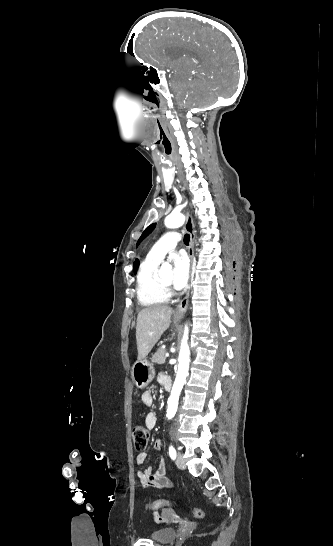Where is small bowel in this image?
I'll return each mask as SVG.
<instances>
[{
	"label": "small bowel",
	"instance_id": "c3829d8e",
	"mask_svg": "<svg viewBox=\"0 0 333 546\" xmlns=\"http://www.w3.org/2000/svg\"><path fill=\"white\" fill-rule=\"evenodd\" d=\"M167 376L164 374H160L158 376L159 382L164 385L165 381L167 380ZM141 400L144 405L151 407L154 404V397L153 394L150 391H145L141 395ZM157 423V416L154 412H149L145 417V426L148 429H153L156 426ZM163 446V442L161 438H157L154 442V449L160 450ZM147 460V454L145 452H139L136 455V463L139 465H143ZM166 462L164 459H161L157 468L153 469L152 467H146L145 469L138 472L137 477L140 482V484L143 487L147 486H155L161 489H169L172 488L173 483L164 475L166 470ZM168 511H165L163 515H160L158 512H154L153 515L155 519L161 520L164 515H166Z\"/></svg>",
	"mask_w": 333,
	"mask_h": 546
}]
</instances>
